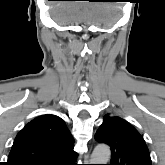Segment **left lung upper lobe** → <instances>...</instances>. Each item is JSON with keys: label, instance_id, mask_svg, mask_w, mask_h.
<instances>
[{"label": "left lung upper lobe", "instance_id": "left-lung-upper-lobe-1", "mask_svg": "<svg viewBox=\"0 0 165 165\" xmlns=\"http://www.w3.org/2000/svg\"><path fill=\"white\" fill-rule=\"evenodd\" d=\"M95 139L110 146L109 165H151L145 141L131 124L120 117L106 115Z\"/></svg>", "mask_w": 165, "mask_h": 165}]
</instances>
